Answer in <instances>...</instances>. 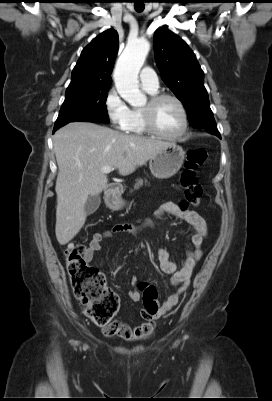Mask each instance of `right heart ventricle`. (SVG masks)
I'll list each match as a JSON object with an SVG mask.
<instances>
[{"mask_svg": "<svg viewBox=\"0 0 272 401\" xmlns=\"http://www.w3.org/2000/svg\"><path fill=\"white\" fill-rule=\"evenodd\" d=\"M148 92L152 95L156 93L150 91ZM125 131L135 135H145L149 133L144 125L141 108H133L131 110V117Z\"/></svg>", "mask_w": 272, "mask_h": 401, "instance_id": "1", "label": "right heart ventricle"}]
</instances>
